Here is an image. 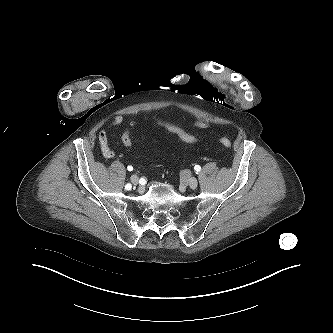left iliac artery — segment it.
I'll return each instance as SVG.
<instances>
[{
	"label": "left iliac artery",
	"instance_id": "obj_1",
	"mask_svg": "<svg viewBox=\"0 0 333 333\" xmlns=\"http://www.w3.org/2000/svg\"><path fill=\"white\" fill-rule=\"evenodd\" d=\"M194 169H195V171L198 173V172H200L201 167H200L199 165H196V166L194 167Z\"/></svg>",
	"mask_w": 333,
	"mask_h": 333
}]
</instances>
